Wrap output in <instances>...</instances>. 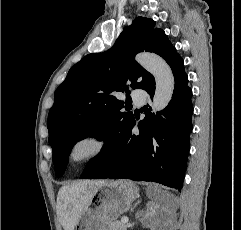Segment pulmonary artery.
<instances>
[{
    "mask_svg": "<svg viewBox=\"0 0 241 230\" xmlns=\"http://www.w3.org/2000/svg\"><path fill=\"white\" fill-rule=\"evenodd\" d=\"M146 99V93L142 90H137L132 94V100L135 104H142Z\"/></svg>",
    "mask_w": 241,
    "mask_h": 230,
    "instance_id": "e3ab8cb5",
    "label": "pulmonary artery"
}]
</instances>
